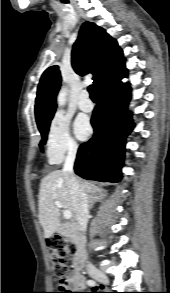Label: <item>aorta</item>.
Wrapping results in <instances>:
<instances>
[{
	"label": "aorta",
	"mask_w": 170,
	"mask_h": 293,
	"mask_svg": "<svg viewBox=\"0 0 170 293\" xmlns=\"http://www.w3.org/2000/svg\"><path fill=\"white\" fill-rule=\"evenodd\" d=\"M66 95H67V89L62 88L58 95V105L63 106L66 103Z\"/></svg>",
	"instance_id": "762f6f07"
}]
</instances>
